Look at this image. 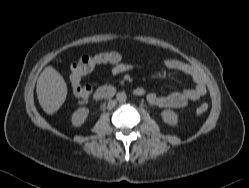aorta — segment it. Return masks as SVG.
<instances>
[{
    "instance_id": "obj_1",
    "label": "aorta",
    "mask_w": 249,
    "mask_h": 188,
    "mask_svg": "<svg viewBox=\"0 0 249 188\" xmlns=\"http://www.w3.org/2000/svg\"><path fill=\"white\" fill-rule=\"evenodd\" d=\"M116 99L119 103H124L127 100V95L125 92H119L116 94Z\"/></svg>"
}]
</instances>
